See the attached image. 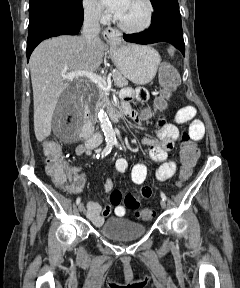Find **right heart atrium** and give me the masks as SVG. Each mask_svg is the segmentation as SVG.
I'll list each match as a JSON object with an SVG mask.
<instances>
[{"label":"right heart atrium","mask_w":240,"mask_h":288,"mask_svg":"<svg viewBox=\"0 0 240 288\" xmlns=\"http://www.w3.org/2000/svg\"><path fill=\"white\" fill-rule=\"evenodd\" d=\"M83 9L85 15L95 21H105L108 18L99 0H83Z\"/></svg>","instance_id":"right-heart-atrium-1"}]
</instances>
